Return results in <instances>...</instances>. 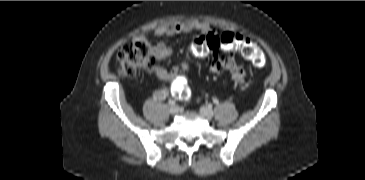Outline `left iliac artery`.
I'll use <instances>...</instances> for the list:
<instances>
[{
	"label": "left iliac artery",
	"mask_w": 365,
	"mask_h": 180,
	"mask_svg": "<svg viewBox=\"0 0 365 180\" xmlns=\"http://www.w3.org/2000/svg\"><path fill=\"white\" fill-rule=\"evenodd\" d=\"M213 103H214V104H219V100H218L217 98H214V99H213Z\"/></svg>",
	"instance_id": "left-iliac-artery-1"
}]
</instances>
